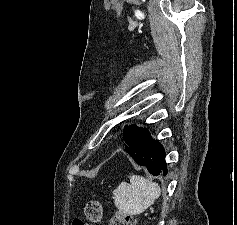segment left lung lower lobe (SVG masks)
Returning a JSON list of instances; mask_svg holds the SVG:
<instances>
[{"instance_id":"1","label":"left lung lower lobe","mask_w":237,"mask_h":225,"mask_svg":"<svg viewBox=\"0 0 237 225\" xmlns=\"http://www.w3.org/2000/svg\"><path fill=\"white\" fill-rule=\"evenodd\" d=\"M123 139L126 152L137 164L146 166L152 175L167 174L164 148L152 139L146 128H138L136 125L125 126Z\"/></svg>"}]
</instances>
